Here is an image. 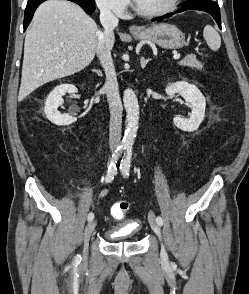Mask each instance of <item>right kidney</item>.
Instances as JSON below:
<instances>
[{"label": "right kidney", "mask_w": 249, "mask_h": 294, "mask_svg": "<svg viewBox=\"0 0 249 294\" xmlns=\"http://www.w3.org/2000/svg\"><path fill=\"white\" fill-rule=\"evenodd\" d=\"M77 88L72 84H62L53 89V91L48 95L44 112L46 118L53 124L58 126H66L72 124L77 119L69 114H61L58 111V107L64 102L62 96L65 93H75Z\"/></svg>", "instance_id": "1"}]
</instances>
